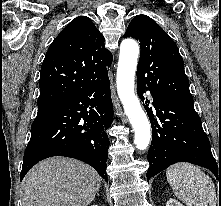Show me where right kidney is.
Returning <instances> with one entry per match:
<instances>
[{
  "instance_id": "1",
  "label": "right kidney",
  "mask_w": 221,
  "mask_h": 206,
  "mask_svg": "<svg viewBox=\"0 0 221 206\" xmlns=\"http://www.w3.org/2000/svg\"><path fill=\"white\" fill-rule=\"evenodd\" d=\"M91 206H98V205L94 204V205H91Z\"/></svg>"
}]
</instances>
